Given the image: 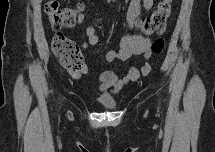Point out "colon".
<instances>
[{"mask_svg":"<svg viewBox=\"0 0 215 152\" xmlns=\"http://www.w3.org/2000/svg\"><path fill=\"white\" fill-rule=\"evenodd\" d=\"M45 12L53 28L72 27L78 20L76 9L59 7V2L50 0L46 2ZM171 14V1H160L156 9L138 22L140 30L147 34L161 33L165 30L166 22ZM52 50L60 59L63 68L73 78H77L83 70V54L79 46L63 34H57L52 39ZM164 47L162 38L156 39L152 44V52L159 54Z\"/></svg>","mask_w":215,"mask_h":152,"instance_id":"colon-1","label":"colon"}]
</instances>
